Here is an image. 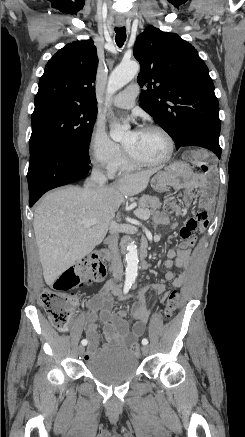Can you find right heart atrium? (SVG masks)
<instances>
[{
	"label": "right heart atrium",
	"instance_id": "1",
	"mask_svg": "<svg viewBox=\"0 0 245 437\" xmlns=\"http://www.w3.org/2000/svg\"><path fill=\"white\" fill-rule=\"evenodd\" d=\"M88 155L91 163L108 173L115 171L124 159L123 150L114 142L103 126L97 123L90 134L88 141Z\"/></svg>",
	"mask_w": 245,
	"mask_h": 437
}]
</instances>
